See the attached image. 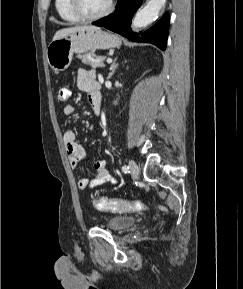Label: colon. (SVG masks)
Segmentation results:
<instances>
[{
    "label": "colon",
    "mask_w": 243,
    "mask_h": 289,
    "mask_svg": "<svg viewBox=\"0 0 243 289\" xmlns=\"http://www.w3.org/2000/svg\"><path fill=\"white\" fill-rule=\"evenodd\" d=\"M69 90L61 87L57 91V102L62 104L67 101ZM94 206L101 211L117 212V213H136L146 210V205L141 201H127L120 199L98 198L94 200Z\"/></svg>",
    "instance_id": "1"
}]
</instances>
